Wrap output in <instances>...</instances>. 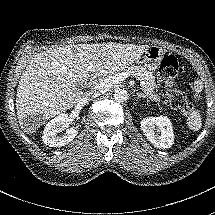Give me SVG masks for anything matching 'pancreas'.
Wrapping results in <instances>:
<instances>
[{
  "instance_id": "cf45deb5",
  "label": "pancreas",
  "mask_w": 215,
  "mask_h": 215,
  "mask_svg": "<svg viewBox=\"0 0 215 215\" xmlns=\"http://www.w3.org/2000/svg\"><path fill=\"white\" fill-rule=\"evenodd\" d=\"M129 75L140 81L142 93L151 101L160 102V96L155 93V76L141 65H131L125 70ZM113 74V73H112Z\"/></svg>"
}]
</instances>
